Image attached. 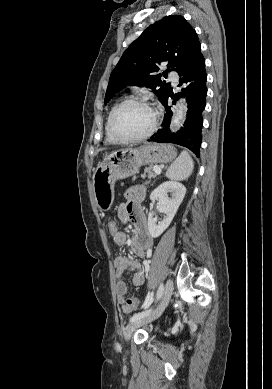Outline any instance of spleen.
<instances>
[{"instance_id":"1","label":"spleen","mask_w":272,"mask_h":389,"mask_svg":"<svg viewBox=\"0 0 272 389\" xmlns=\"http://www.w3.org/2000/svg\"><path fill=\"white\" fill-rule=\"evenodd\" d=\"M194 162L187 151H182L179 157L170 165L166 177L171 180H185L193 172Z\"/></svg>"}]
</instances>
